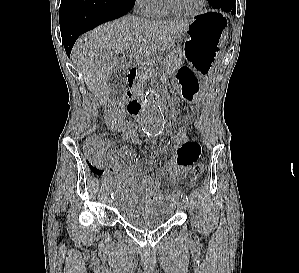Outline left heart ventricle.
I'll list each match as a JSON object with an SVG mask.
<instances>
[{
	"mask_svg": "<svg viewBox=\"0 0 299 273\" xmlns=\"http://www.w3.org/2000/svg\"><path fill=\"white\" fill-rule=\"evenodd\" d=\"M201 0H172L175 6L185 11L194 10Z\"/></svg>",
	"mask_w": 299,
	"mask_h": 273,
	"instance_id": "1",
	"label": "left heart ventricle"
}]
</instances>
